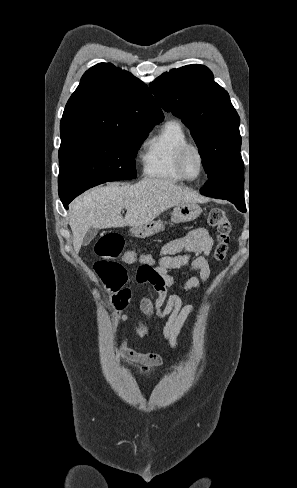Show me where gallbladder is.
<instances>
[{
	"label": "gallbladder",
	"instance_id": "1",
	"mask_svg": "<svg viewBox=\"0 0 297 488\" xmlns=\"http://www.w3.org/2000/svg\"><path fill=\"white\" fill-rule=\"evenodd\" d=\"M97 228L91 227L88 229V231L85 234V237L83 239V245H88L97 235Z\"/></svg>",
	"mask_w": 297,
	"mask_h": 488
}]
</instances>
